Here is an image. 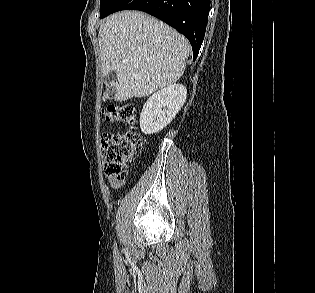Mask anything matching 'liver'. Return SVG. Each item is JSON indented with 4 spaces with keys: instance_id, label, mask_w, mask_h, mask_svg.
Masks as SVG:
<instances>
[{
    "instance_id": "1",
    "label": "liver",
    "mask_w": 315,
    "mask_h": 293,
    "mask_svg": "<svg viewBox=\"0 0 315 293\" xmlns=\"http://www.w3.org/2000/svg\"><path fill=\"white\" fill-rule=\"evenodd\" d=\"M102 74L114 71L116 101L146 97L175 83L184 73L190 53L188 40L145 13L121 11L99 27ZM107 92L103 99L109 100Z\"/></svg>"
}]
</instances>
